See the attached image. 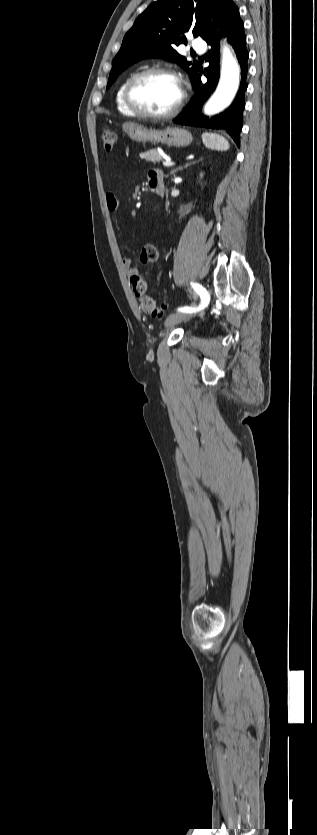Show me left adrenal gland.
I'll return each mask as SVG.
<instances>
[{"label":"left adrenal gland","instance_id":"obj_1","mask_svg":"<svg viewBox=\"0 0 317 835\" xmlns=\"http://www.w3.org/2000/svg\"><path fill=\"white\" fill-rule=\"evenodd\" d=\"M201 160H202V158H200L198 161H193V162H191V163H187V164L184 166V168H187L188 166H190V165H192V164H195L196 162H199V161H201ZM182 169H183V167H179V168H177V169L173 170V171L171 172V174H174V173H175V172H177L178 170H182Z\"/></svg>","mask_w":317,"mask_h":835}]
</instances>
